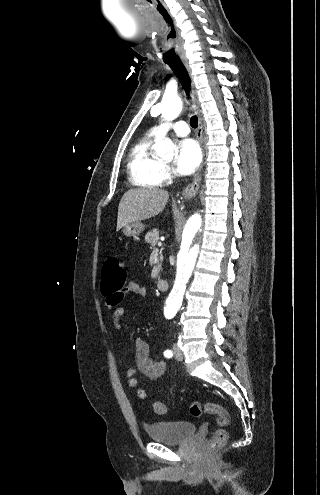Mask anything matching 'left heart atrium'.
I'll return each mask as SVG.
<instances>
[{
    "label": "left heart atrium",
    "mask_w": 320,
    "mask_h": 495,
    "mask_svg": "<svg viewBox=\"0 0 320 495\" xmlns=\"http://www.w3.org/2000/svg\"><path fill=\"white\" fill-rule=\"evenodd\" d=\"M201 150L196 141L185 139L179 143L175 170L180 175L192 174L200 165Z\"/></svg>",
    "instance_id": "1"
}]
</instances>
